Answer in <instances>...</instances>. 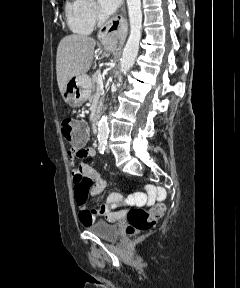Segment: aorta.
Returning a JSON list of instances; mask_svg holds the SVG:
<instances>
[{
    "label": "aorta",
    "mask_w": 240,
    "mask_h": 288,
    "mask_svg": "<svg viewBox=\"0 0 240 288\" xmlns=\"http://www.w3.org/2000/svg\"><path fill=\"white\" fill-rule=\"evenodd\" d=\"M130 35L123 49L120 71L125 73L134 64L139 50V43L141 39L142 30V10L141 0H127ZM109 126L108 117L103 115L98 124V140L106 141L108 138Z\"/></svg>",
    "instance_id": "aorta-1"
}]
</instances>
